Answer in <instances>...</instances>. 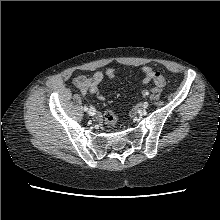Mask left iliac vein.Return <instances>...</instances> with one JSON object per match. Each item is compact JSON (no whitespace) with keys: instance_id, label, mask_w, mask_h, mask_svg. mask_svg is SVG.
I'll return each instance as SVG.
<instances>
[{"instance_id":"left-iliac-vein-1","label":"left iliac vein","mask_w":220,"mask_h":220,"mask_svg":"<svg viewBox=\"0 0 220 220\" xmlns=\"http://www.w3.org/2000/svg\"><path fill=\"white\" fill-rule=\"evenodd\" d=\"M148 104H149V103H148ZM147 107H148V105L145 104V103H144L143 106H142L143 109H146Z\"/></svg>"}]
</instances>
